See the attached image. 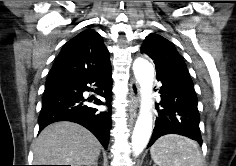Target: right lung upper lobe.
<instances>
[{"label":"right lung upper lobe","instance_id":"right-lung-upper-lobe-1","mask_svg":"<svg viewBox=\"0 0 236 166\" xmlns=\"http://www.w3.org/2000/svg\"><path fill=\"white\" fill-rule=\"evenodd\" d=\"M109 66V52L102 37L93 29H87L63 46L48 78L92 75Z\"/></svg>","mask_w":236,"mask_h":166}]
</instances>
